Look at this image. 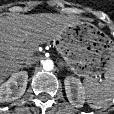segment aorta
<instances>
[{"instance_id": "aorta-1", "label": "aorta", "mask_w": 114, "mask_h": 114, "mask_svg": "<svg viewBox=\"0 0 114 114\" xmlns=\"http://www.w3.org/2000/svg\"><path fill=\"white\" fill-rule=\"evenodd\" d=\"M53 67H54V64H53L52 60H45V61H43V68H44V70L50 71V70L53 69Z\"/></svg>"}]
</instances>
